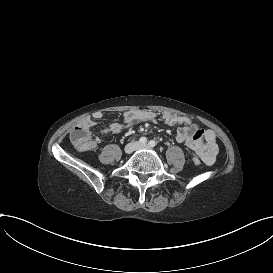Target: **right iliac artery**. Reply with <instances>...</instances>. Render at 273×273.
I'll return each instance as SVG.
<instances>
[{"instance_id":"82829eb1","label":"right iliac artery","mask_w":273,"mask_h":273,"mask_svg":"<svg viewBox=\"0 0 273 273\" xmlns=\"http://www.w3.org/2000/svg\"><path fill=\"white\" fill-rule=\"evenodd\" d=\"M139 142H140L141 144H145V143L147 142L146 137H141V138L139 139Z\"/></svg>"}]
</instances>
